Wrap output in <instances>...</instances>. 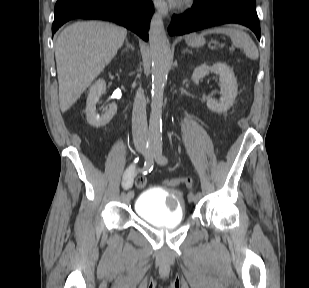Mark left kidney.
I'll list each match as a JSON object with an SVG mask.
<instances>
[{"label": "left kidney", "mask_w": 309, "mask_h": 288, "mask_svg": "<svg viewBox=\"0 0 309 288\" xmlns=\"http://www.w3.org/2000/svg\"><path fill=\"white\" fill-rule=\"evenodd\" d=\"M218 74L221 82V98L219 101L207 97V107L209 110L223 113L231 108L237 96L238 85L233 71L225 63H216L213 66L202 64L196 67L192 74L195 83L205 77L209 72Z\"/></svg>", "instance_id": "1"}]
</instances>
